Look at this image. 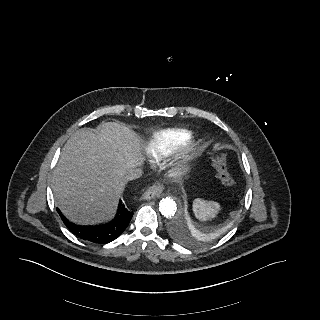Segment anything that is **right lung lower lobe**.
<instances>
[{"label":"right lung lower lobe","instance_id":"right-lung-lower-lobe-1","mask_svg":"<svg viewBox=\"0 0 320 320\" xmlns=\"http://www.w3.org/2000/svg\"><path fill=\"white\" fill-rule=\"evenodd\" d=\"M57 211L64 224L73 234L83 240L98 244H106L118 238L126 229L133 216V212L128 211L122 201L119 202L115 218L110 223L99 226L75 225L58 208Z\"/></svg>","mask_w":320,"mask_h":320}]
</instances>
